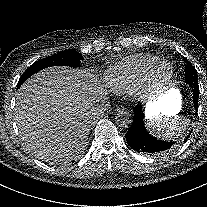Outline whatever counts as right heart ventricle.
Segmentation results:
<instances>
[{
  "label": "right heart ventricle",
  "mask_w": 207,
  "mask_h": 207,
  "mask_svg": "<svg viewBox=\"0 0 207 207\" xmlns=\"http://www.w3.org/2000/svg\"><path fill=\"white\" fill-rule=\"evenodd\" d=\"M160 62L154 55H136L112 66L105 81L113 94H129L147 86L149 71Z\"/></svg>",
  "instance_id": "1"
}]
</instances>
